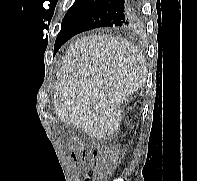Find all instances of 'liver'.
<instances>
[{"instance_id":"6515ba94","label":"liver","mask_w":197,"mask_h":181,"mask_svg":"<svg viewBox=\"0 0 197 181\" xmlns=\"http://www.w3.org/2000/svg\"><path fill=\"white\" fill-rule=\"evenodd\" d=\"M146 78V59L128 41L84 36L67 50L55 83L54 109L63 122L103 139L118 131L121 104Z\"/></svg>"}]
</instances>
